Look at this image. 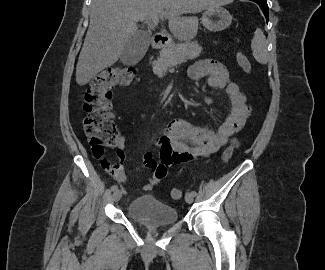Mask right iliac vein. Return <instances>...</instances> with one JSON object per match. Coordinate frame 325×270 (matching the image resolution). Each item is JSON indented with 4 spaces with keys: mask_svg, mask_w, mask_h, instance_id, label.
<instances>
[{
    "mask_svg": "<svg viewBox=\"0 0 325 270\" xmlns=\"http://www.w3.org/2000/svg\"><path fill=\"white\" fill-rule=\"evenodd\" d=\"M121 197H122V192L120 190H116L112 195V201L117 202L121 199Z\"/></svg>",
    "mask_w": 325,
    "mask_h": 270,
    "instance_id": "right-iliac-vein-1",
    "label": "right iliac vein"
}]
</instances>
